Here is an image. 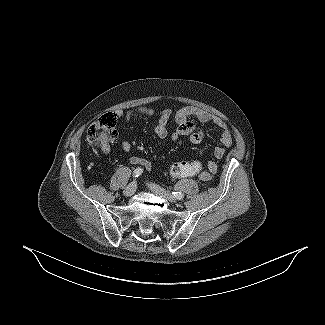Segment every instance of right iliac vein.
<instances>
[{
    "label": "right iliac vein",
    "instance_id": "obj_1",
    "mask_svg": "<svg viewBox=\"0 0 325 325\" xmlns=\"http://www.w3.org/2000/svg\"><path fill=\"white\" fill-rule=\"evenodd\" d=\"M137 185L135 182L130 183L125 190L123 191V194L127 197L132 196L136 192Z\"/></svg>",
    "mask_w": 325,
    "mask_h": 325
}]
</instances>
